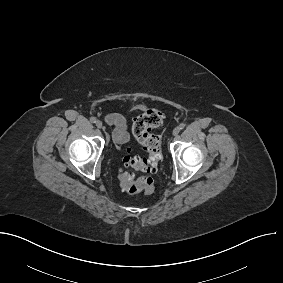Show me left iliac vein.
<instances>
[{"label": "left iliac vein", "mask_w": 283, "mask_h": 283, "mask_svg": "<svg viewBox=\"0 0 283 283\" xmlns=\"http://www.w3.org/2000/svg\"><path fill=\"white\" fill-rule=\"evenodd\" d=\"M179 131H180V130H179L178 127L175 128V129L173 130V135H174V136L178 135Z\"/></svg>", "instance_id": "left-iliac-vein-1"}]
</instances>
